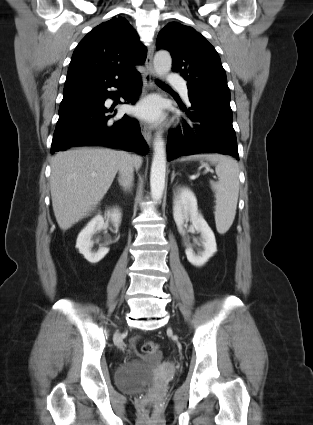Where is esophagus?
I'll list each match as a JSON object with an SVG mask.
<instances>
[{
	"label": "esophagus",
	"instance_id": "obj_1",
	"mask_svg": "<svg viewBox=\"0 0 313 425\" xmlns=\"http://www.w3.org/2000/svg\"><path fill=\"white\" fill-rule=\"evenodd\" d=\"M153 53H154V46L150 45L148 48L147 58L145 61V71L143 73V82H144V87L146 89H150L154 86L155 70L153 67ZM140 127H141V132L144 139L149 145H151L152 131L150 126L142 122L140 124Z\"/></svg>",
	"mask_w": 313,
	"mask_h": 425
}]
</instances>
